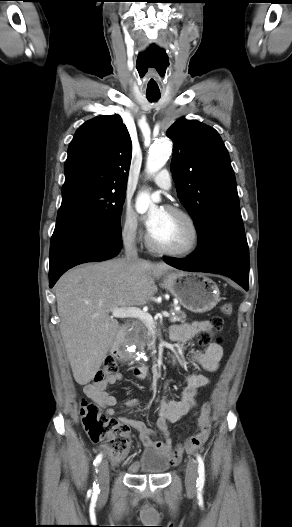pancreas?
I'll return each instance as SVG.
<instances>
[{
    "instance_id": "obj_1",
    "label": "pancreas",
    "mask_w": 292,
    "mask_h": 527,
    "mask_svg": "<svg viewBox=\"0 0 292 527\" xmlns=\"http://www.w3.org/2000/svg\"><path fill=\"white\" fill-rule=\"evenodd\" d=\"M170 312L174 313L169 318L171 323L185 322L186 313L184 311L171 309ZM151 336V331L148 330L147 326L142 321H137L134 323L132 330L127 334L126 341L129 344H135L143 350L146 343L149 345L148 342Z\"/></svg>"
}]
</instances>
